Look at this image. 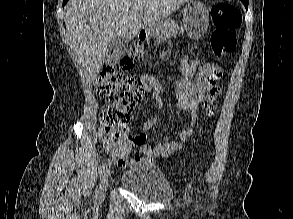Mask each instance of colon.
<instances>
[{
    "mask_svg": "<svg viewBox=\"0 0 293 219\" xmlns=\"http://www.w3.org/2000/svg\"><path fill=\"white\" fill-rule=\"evenodd\" d=\"M211 18L214 30L210 44L213 52L218 56L233 52L236 47L235 30L242 22L240 11L230 3L220 2L212 6ZM146 56L142 45L135 44L122 60L105 65L96 79V91L107 101L101 112V124L110 134L128 127L131 114L144 95L143 85L132 69ZM210 72L216 79L222 76L219 65H210Z\"/></svg>",
    "mask_w": 293,
    "mask_h": 219,
    "instance_id": "colon-1",
    "label": "colon"
}]
</instances>
